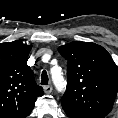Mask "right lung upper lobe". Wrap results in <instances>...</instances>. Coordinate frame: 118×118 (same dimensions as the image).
Returning a JSON list of instances; mask_svg holds the SVG:
<instances>
[{"label":"right lung upper lobe","mask_w":118,"mask_h":118,"mask_svg":"<svg viewBox=\"0 0 118 118\" xmlns=\"http://www.w3.org/2000/svg\"><path fill=\"white\" fill-rule=\"evenodd\" d=\"M30 50L20 41L0 43V118H25L44 94L26 62Z\"/></svg>","instance_id":"1"}]
</instances>
